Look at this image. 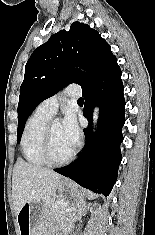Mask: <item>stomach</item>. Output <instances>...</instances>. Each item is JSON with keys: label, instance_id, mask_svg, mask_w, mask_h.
Segmentation results:
<instances>
[{"label": "stomach", "instance_id": "obj_1", "mask_svg": "<svg viewBox=\"0 0 155 235\" xmlns=\"http://www.w3.org/2000/svg\"><path fill=\"white\" fill-rule=\"evenodd\" d=\"M57 189L58 199L67 205L79 206L84 200L81 191L71 181H59ZM45 211V202H27L17 216L19 235H41L43 231L40 230L39 225L41 224Z\"/></svg>", "mask_w": 155, "mask_h": 235}]
</instances>
